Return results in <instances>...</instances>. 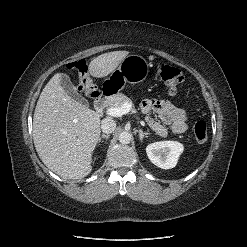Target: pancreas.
I'll return each mask as SVG.
<instances>
[{"instance_id":"1","label":"pancreas","mask_w":247,"mask_h":247,"mask_svg":"<svg viewBox=\"0 0 247 247\" xmlns=\"http://www.w3.org/2000/svg\"><path fill=\"white\" fill-rule=\"evenodd\" d=\"M126 102L132 104L131 99L128 98L126 95H124L122 93H117L106 100V106H108V107H120Z\"/></svg>"}]
</instances>
